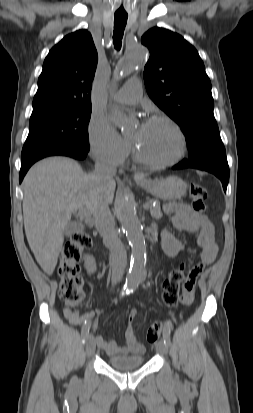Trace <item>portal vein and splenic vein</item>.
Wrapping results in <instances>:
<instances>
[{
    "label": "portal vein and splenic vein",
    "instance_id": "obj_1",
    "mask_svg": "<svg viewBox=\"0 0 253 413\" xmlns=\"http://www.w3.org/2000/svg\"><path fill=\"white\" fill-rule=\"evenodd\" d=\"M143 207L146 210L150 209V206L147 202L143 204ZM78 214L81 218H88L90 216L89 212L85 208H79L78 209Z\"/></svg>",
    "mask_w": 253,
    "mask_h": 413
}]
</instances>
